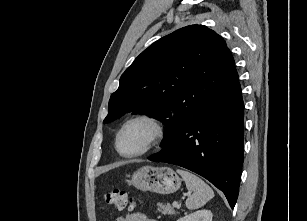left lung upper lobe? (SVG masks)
<instances>
[{"label": "left lung upper lobe", "instance_id": "1", "mask_svg": "<svg viewBox=\"0 0 307 221\" xmlns=\"http://www.w3.org/2000/svg\"><path fill=\"white\" fill-rule=\"evenodd\" d=\"M235 72L221 36L203 25L181 28L145 49L121 75L104 122L126 112L147 114L166 125L164 147Z\"/></svg>", "mask_w": 307, "mask_h": 221}]
</instances>
